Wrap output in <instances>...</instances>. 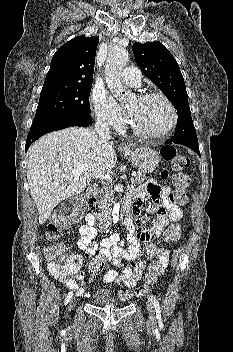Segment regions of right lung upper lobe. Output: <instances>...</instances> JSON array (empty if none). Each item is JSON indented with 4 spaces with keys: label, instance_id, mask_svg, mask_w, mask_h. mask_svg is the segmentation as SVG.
I'll return each mask as SVG.
<instances>
[{
    "label": "right lung upper lobe",
    "instance_id": "cb5924a9",
    "mask_svg": "<svg viewBox=\"0 0 233 352\" xmlns=\"http://www.w3.org/2000/svg\"><path fill=\"white\" fill-rule=\"evenodd\" d=\"M97 36H78L62 45L51 60L43 87L92 85Z\"/></svg>",
    "mask_w": 233,
    "mask_h": 352
}]
</instances>
